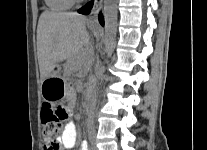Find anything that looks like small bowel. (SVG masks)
Listing matches in <instances>:
<instances>
[{"label": "small bowel", "mask_w": 207, "mask_h": 150, "mask_svg": "<svg viewBox=\"0 0 207 150\" xmlns=\"http://www.w3.org/2000/svg\"><path fill=\"white\" fill-rule=\"evenodd\" d=\"M71 104L74 101V94H70ZM61 150L74 149L77 143V128L74 122H68L57 137ZM80 150H90V140H81Z\"/></svg>", "instance_id": "small-bowel-1"}]
</instances>
